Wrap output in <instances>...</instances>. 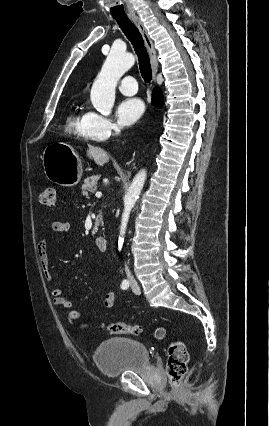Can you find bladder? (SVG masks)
<instances>
[{
  "label": "bladder",
  "instance_id": "bladder-1",
  "mask_svg": "<svg viewBox=\"0 0 269 426\" xmlns=\"http://www.w3.org/2000/svg\"><path fill=\"white\" fill-rule=\"evenodd\" d=\"M93 362L106 376H117L149 366L146 347L133 339L108 338L100 343L93 353Z\"/></svg>",
  "mask_w": 269,
  "mask_h": 426
}]
</instances>
